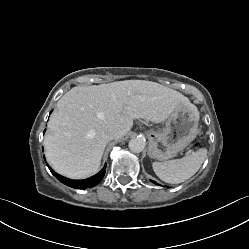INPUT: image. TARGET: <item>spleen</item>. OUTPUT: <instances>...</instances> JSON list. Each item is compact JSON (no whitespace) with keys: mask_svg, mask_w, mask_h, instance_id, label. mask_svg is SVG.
Masks as SVG:
<instances>
[{"mask_svg":"<svg viewBox=\"0 0 249 249\" xmlns=\"http://www.w3.org/2000/svg\"><path fill=\"white\" fill-rule=\"evenodd\" d=\"M207 157V149L201 148L181 159L165 162H153L155 174L164 182L179 184L192 177Z\"/></svg>","mask_w":249,"mask_h":249,"instance_id":"1","label":"spleen"}]
</instances>
